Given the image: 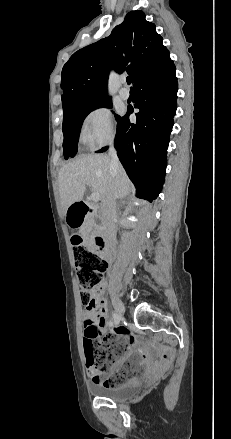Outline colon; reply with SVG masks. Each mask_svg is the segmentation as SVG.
I'll return each mask as SVG.
<instances>
[{
  "mask_svg": "<svg viewBox=\"0 0 231 439\" xmlns=\"http://www.w3.org/2000/svg\"><path fill=\"white\" fill-rule=\"evenodd\" d=\"M74 265L80 283L82 302L87 306H94L93 293L102 283L107 270V263L98 254L91 251L81 236L75 235L71 239ZM127 342L122 337L108 336L101 344H84L86 367L92 378L108 387L119 386L128 381L127 369L120 367L113 373H108L111 363L117 359Z\"/></svg>",
  "mask_w": 231,
  "mask_h": 439,
  "instance_id": "1",
  "label": "colon"
}]
</instances>
